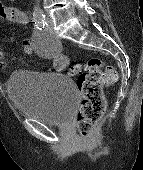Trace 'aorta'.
<instances>
[{"instance_id": "obj_1", "label": "aorta", "mask_w": 143, "mask_h": 170, "mask_svg": "<svg viewBox=\"0 0 143 170\" xmlns=\"http://www.w3.org/2000/svg\"><path fill=\"white\" fill-rule=\"evenodd\" d=\"M33 13H34L35 15H40V14H41V11H40V9H39L38 7H35Z\"/></svg>"}]
</instances>
